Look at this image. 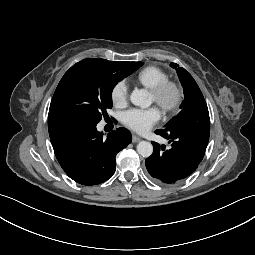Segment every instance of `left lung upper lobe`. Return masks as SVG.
Instances as JSON below:
<instances>
[{
  "instance_id": "5c2ea615",
  "label": "left lung upper lobe",
  "mask_w": 255,
  "mask_h": 255,
  "mask_svg": "<svg viewBox=\"0 0 255 255\" xmlns=\"http://www.w3.org/2000/svg\"><path fill=\"white\" fill-rule=\"evenodd\" d=\"M171 67L176 69L177 74L179 76L180 82L183 86V92H184V101L181 104V110L187 107L188 105L197 102V101H202L204 100V97L202 95V92L200 91L197 83L193 79V77L184 69L181 67H178V64L176 63H171ZM175 119L172 118L166 126L172 122Z\"/></svg>"
}]
</instances>
